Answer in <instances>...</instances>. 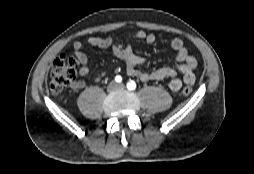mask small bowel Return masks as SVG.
I'll return each instance as SVG.
<instances>
[{"label": "small bowel", "mask_w": 254, "mask_h": 174, "mask_svg": "<svg viewBox=\"0 0 254 174\" xmlns=\"http://www.w3.org/2000/svg\"><path fill=\"white\" fill-rule=\"evenodd\" d=\"M133 40H142L148 44H153L156 41V36L138 30L132 36ZM83 45L110 49L112 53L126 63V73L130 76L137 77L142 82L169 80V87L173 91H179L183 83L193 85L196 81L195 68L197 65L196 59L190 55L184 46L181 39L175 38L171 41V48L176 52L175 68L161 67L151 72L138 70L137 67L146 63V59L134 53L130 43L124 44L113 38L88 37L83 42L76 41L73 44V57L75 59L76 68L80 77H85L89 74V63L87 55L82 52ZM178 72L182 74V80L178 77ZM104 74H98L94 80L100 81ZM85 86V81L82 79L75 80L71 83L72 90H79Z\"/></svg>", "instance_id": "obj_1"}]
</instances>
